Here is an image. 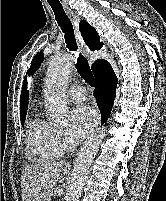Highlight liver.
Segmentation results:
<instances>
[{
  "instance_id": "6515ba94",
  "label": "liver",
  "mask_w": 166,
  "mask_h": 201,
  "mask_svg": "<svg viewBox=\"0 0 166 201\" xmlns=\"http://www.w3.org/2000/svg\"><path fill=\"white\" fill-rule=\"evenodd\" d=\"M63 162L42 161L27 166L22 171V201H51Z\"/></svg>"
}]
</instances>
